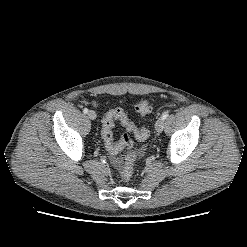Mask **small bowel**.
<instances>
[{
	"label": "small bowel",
	"mask_w": 247,
	"mask_h": 247,
	"mask_svg": "<svg viewBox=\"0 0 247 247\" xmlns=\"http://www.w3.org/2000/svg\"><path fill=\"white\" fill-rule=\"evenodd\" d=\"M111 161L115 167H119L121 165V160L117 155H111Z\"/></svg>",
	"instance_id": "small-bowel-1"
}]
</instances>
